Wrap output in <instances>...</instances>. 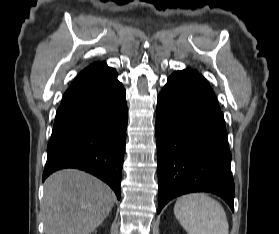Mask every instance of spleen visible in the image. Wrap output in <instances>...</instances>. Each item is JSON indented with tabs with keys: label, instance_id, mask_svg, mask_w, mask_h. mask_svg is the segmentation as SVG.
Instances as JSON below:
<instances>
[{
	"label": "spleen",
	"instance_id": "obj_1",
	"mask_svg": "<svg viewBox=\"0 0 279 234\" xmlns=\"http://www.w3.org/2000/svg\"><path fill=\"white\" fill-rule=\"evenodd\" d=\"M174 214L188 234H229L222 205L204 193L178 198Z\"/></svg>",
	"mask_w": 279,
	"mask_h": 234
}]
</instances>
